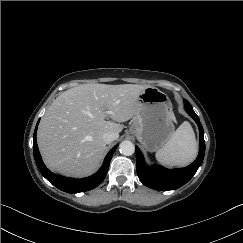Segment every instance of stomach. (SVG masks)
<instances>
[{
	"label": "stomach",
	"mask_w": 243,
	"mask_h": 243,
	"mask_svg": "<svg viewBox=\"0 0 243 243\" xmlns=\"http://www.w3.org/2000/svg\"><path fill=\"white\" fill-rule=\"evenodd\" d=\"M139 107L129 132L148 151L162 148L174 132V114L168 95L147 86L138 97Z\"/></svg>",
	"instance_id": "stomach-1"
}]
</instances>
